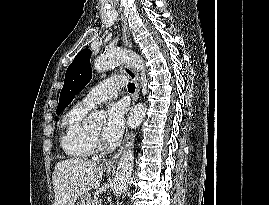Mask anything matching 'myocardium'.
<instances>
[{
    "label": "myocardium",
    "instance_id": "obj_1",
    "mask_svg": "<svg viewBox=\"0 0 269 205\" xmlns=\"http://www.w3.org/2000/svg\"><path fill=\"white\" fill-rule=\"evenodd\" d=\"M89 133V137L91 140V143L94 147V151L97 152H107L111 150V146H109L108 144H106L101 137L96 136L94 134H92L91 132Z\"/></svg>",
    "mask_w": 269,
    "mask_h": 205
}]
</instances>
